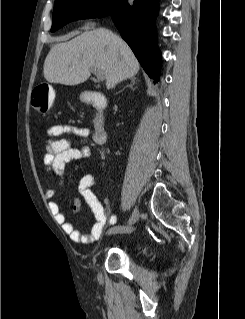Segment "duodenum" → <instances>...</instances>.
Returning a JSON list of instances; mask_svg holds the SVG:
<instances>
[{"mask_svg":"<svg viewBox=\"0 0 245 319\" xmlns=\"http://www.w3.org/2000/svg\"><path fill=\"white\" fill-rule=\"evenodd\" d=\"M84 102L94 107L97 111L93 118L94 141L98 145H103L107 139L105 118L103 115L107 100L99 91H89L84 95Z\"/></svg>","mask_w":245,"mask_h":319,"instance_id":"duodenum-1","label":"duodenum"}]
</instances>
